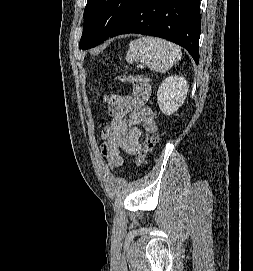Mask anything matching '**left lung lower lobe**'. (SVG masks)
Listing matches in <instances>:
<instances>
[{"label":"left lung lower lobe","mask_w":253,"mask_h":271,"mask_svg":"<svg viewBox=\"0 0 253 271\" xmlns=\"http://www.w3.org/2000/svg\"><path fill=\"white\" fill-rule=\"evenodd\" d=\"M200 0H133L132 7L109 37L139 33L184 47L199 62Z\"/></svg>","instance_id":"0a47b994"}]
</instances>
